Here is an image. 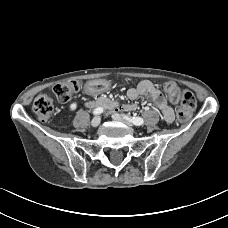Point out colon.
I'll list each match as a JSON object with an SVG mask.
<instances>
[{
	"label": "colon",
	"instance_id": "1",
	"mask_svg": "<svg viewBox=\"0 0 228 228\" xmlns=\"http://www.w3.org/2000/svg\"><path fill=\"white\" fill-rule=\"evenodd\" d=\"M81 86V81L69 79L56 84L53 87V92L59 102H67L80 90ZM164 89L172 101L179 105V119L181 121L189 120L196 107V98L194 95L188 90L179 89L172 81L165 82ZM32 110L38 120L47 121L53 113L52 99L46 94L38 95L33 102Z\"/></svg>",
	"mask_w": 228,
	"mask_h": 228
}]
</instances>
